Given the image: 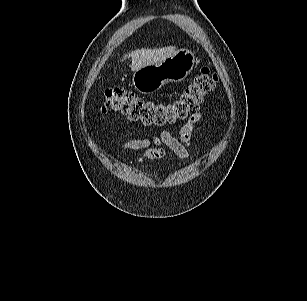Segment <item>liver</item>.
Returning <instances> with one entry per match:
<instances>
[{
  "label": "liver",
  "instance_id": "6515ba94",
  "mask_svg": "<svg viewBox=\"0 0 307 301\" xmlns=\"http://www.w3.org/2000/svg\"><path fill=\"white\" fill-rule=\"evenodd\" d=\"M175 49V46L159 49H138L131 52L129 55H125L124 60L127 57H131V70L137 71L144 66L161 63L167 59L175 51Z\"/></svg>",
  "mask_w": 307,
  "mask_h": 301
}]
</instances>
